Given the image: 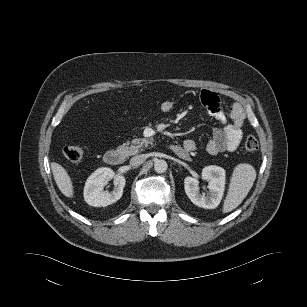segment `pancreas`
<instances>
[{
  "label": "pancreas",
  "mask_w": 307,
  "mask_h": 307,
  "mask_svg": "<svg viewBox=\"0 0 307 307\" xmlns=\"http://www.w3.org/2000/svg\"><path fill=\"white\" fill-rule=\"evenodd\" d=\"M151 141L149 139L137 138L132 141H127L118 147V150L123 153L126 157L137 154L141 152L145 147H147Z\"/></svg>",
  "instance_id": "obj_1"
}]
</instances>
